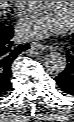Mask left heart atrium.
Segmentation results:
<instances>
[{"mask_svg":"<svg viewBox=\"0 0 74 122\" xmlns=\"http://www.w3.org/2000/svg\"><path fill=\"white\" fill-rule=\"evenodd\" d=\"M23 17L18 25L19 35L23 38H43L62 32L67 22L47 4Z\"/></svg>","mask_w":74,"mask_h":122,"instance_id":"39dd6f15","label":"left heart atrium"}]
</instances>
